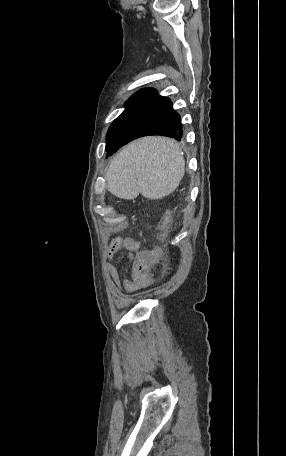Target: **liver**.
Segmentation results:
<instances>
[{
  "label": "liver",
  "mask_w": 286,
  "mask_h": 456,
  "mask_svg": "<svg viewBox=\"0 0 286 456\" xmlns=\"http://www.w3.org/2000/svg\"><path fill=\"white\" fill-rule=\"evenodd\" d=\"M185 173L179 145L165 137H144L129 143L111 162L107 189L121 199H161L178 187Z\"/></svg>",
  "instance_id": "1"
}]
</instances>
